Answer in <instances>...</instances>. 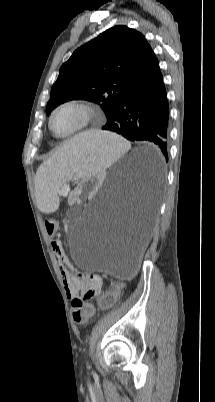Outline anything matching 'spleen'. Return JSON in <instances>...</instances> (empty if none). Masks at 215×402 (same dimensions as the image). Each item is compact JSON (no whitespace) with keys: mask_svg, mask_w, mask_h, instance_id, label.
Here are the masks:
<instances>
[{"mask_svg":"<svg viewBox=\"0 0 215 402\" xmlns=\"http://www.w3.org/2000/svg\"><path fill=\"white\" fill-rule=\"evenodd\" d=\"M130 149V143L108 132H84L67 141L38 172L39 210H59L61 203L57 188L75 175L85 178L95 175L97 169H106L121 154Z\"/></svg>","mask_w":215,"mask_h":402,"instance_id":"obj_1","label":"spleen"}]
</instances>
